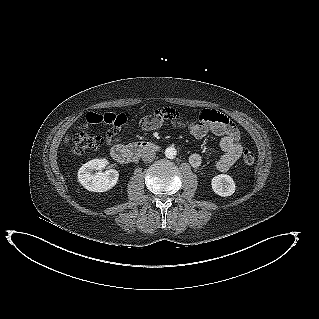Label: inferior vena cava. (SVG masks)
<instances>
[{"instance_id":"602c4592","label":"inferior vena cava","mask_w":319,"mask_h":319,"mask_svg":"<svg viewBox=\"0 0 319 319\" xmlns=\"http://www.w3.org/2000/svg\"><path fill=\"white\" fill-rule=\"evenodd\" d=\"M156 157L154 150L149 149L142 152V160L144 162H152Z\"/></svg>"}]
</instances>
